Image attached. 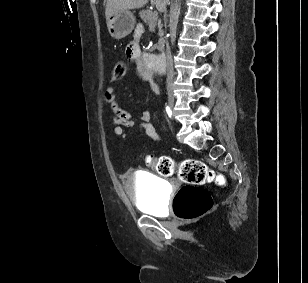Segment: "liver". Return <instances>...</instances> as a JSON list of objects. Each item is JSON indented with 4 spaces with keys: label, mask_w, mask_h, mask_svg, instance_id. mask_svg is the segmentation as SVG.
<instances>
[{
    "label": "liver",
    "mask_w": 308,
    "mask_h": 283,
    "mask_svg": "<svg viewBox=\"0 0 308 283\" xmlns=\"http://www.w3.org/2000/svg\"><path fill=\"white\" fill-rule=\"evenodd\" d=\"M160 10L165 9L166 0H150ZM148 3V0H107L105 16L106 20L117 11L138 9Z\"/></svg>",
    "instance_id": "liver-1"
}]
</instances>
